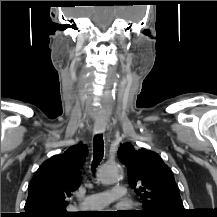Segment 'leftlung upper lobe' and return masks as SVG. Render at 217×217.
Returning <instances> with one entry per match:
<instances>
[{
  "label": "left lung upper lobe",
  "instance_id": "1",
  "mask_svg": "<svg viewBox=\"0 0 217 217\" xmlns=\"http://www.w3.org/2000/svg\"><path fill=\"white\" fill-rule=\"evenodd\" d=\"M120 161L128 169L129 185L143 201L146 217H183L184 207L174 175L158 154L135 150L126 143L119 150Z\"/></svg>",
  "mask_w": 217,
  "mask_h": 217
}]
</instances>
